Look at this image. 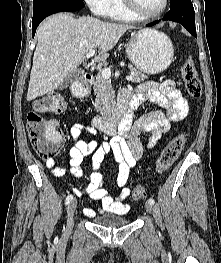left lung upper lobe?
Wrapping results in <instances>:
<instances>
[{
    "mask_svg": "<svg viewBox=\"0 0 221 263\" xmlns=\"http://www.w3.org/2000/svg\"><path fill=\"white\" fill-rule=\"evenodd\" d=\"M191 0H170V6H177L183 3L190 2Z\"/></svg>",
    "mask_w": 221,
    "mask_h": 263,
    "instance_id": "1",
    "label": "left lung upper lobe"
}]
</instances>
